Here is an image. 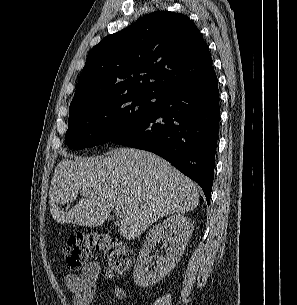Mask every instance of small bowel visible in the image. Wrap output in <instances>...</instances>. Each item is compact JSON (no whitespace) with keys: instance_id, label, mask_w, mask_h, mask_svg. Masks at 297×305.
Segmentation results:
<instances>
[{"instance_id":"small-bowel-1","label":"small bowel","mask_w":297,"mask_h":305,"mask_svg":"<svg viewBox=\"0 0 297 305\" xmlns=\"http://www.w3.org/2000/svg\"><path fill=\"white\" fill-rule=\"evenodd\" d=\"M113 281L115 275L108 267H102L97 262H90L82 269L80 274L69 273L65 277L67 287L73 294L74 305H90L95 292L99 276ZM114 299L124 301L127 298V292L124 287L116 286L113 289Z\"/></svg>"}]
</instances>
